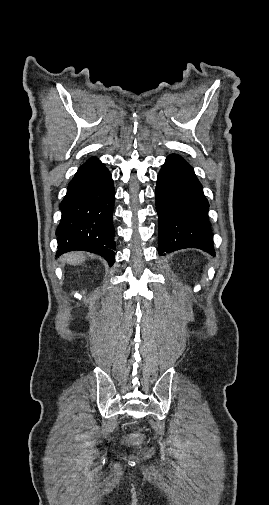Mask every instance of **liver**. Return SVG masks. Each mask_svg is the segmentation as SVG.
<instances>
[{"label":"liver","instance_id":"obj_1","mask_svg":"<svg viewBox=\"0 0 269 505\" xmlns=\"http://www.w3.org/2000/svg\"><path fill=\"white\" fill-rule=\"evenodd\" d=\"M86 256L83 253L71 252L62 257V260L70 265H78L84 262Z\"/></svg>","mask_w":269,"mask_h":505}]
</instances>
